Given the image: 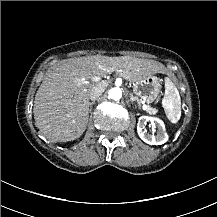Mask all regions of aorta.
Instances as JSON below:
<instances>
[{
	"label": "aorta",
	"instance_id": "1",
	"mask_svg": "<svg viewBox=\"0 0 217 217\" xmlns=\"http://www.w3.org/2000/svg\"><path fill=\"white\" fill-rule=\"evenodd\" d=\"M108 97L115 101L120 100L122 97V90L119 87L111 88L108 92Z\"/></svg>",
	"mask_w": 217,
	"mask_h": 217
}]
</instances>
